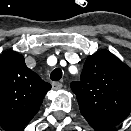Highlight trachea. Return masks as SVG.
Listing matches in <instances>:
<instances>
[{
	"mask_svg": "<svg viewBox=\"0 0 131 131\" xmlns=\"http://www.w3.org/2000/svg\"><path fill=\"white\" fill-rule=\"evenodd\" d=\"M62 75V70L60 68H56L51 72L50 78L52 81H58L61 79Z\"/></svg>",
	"mask_w": 131,
	"mask_h": 131,
	"instance_id": "1",
	"label": "trachea"
}]
</instances>
